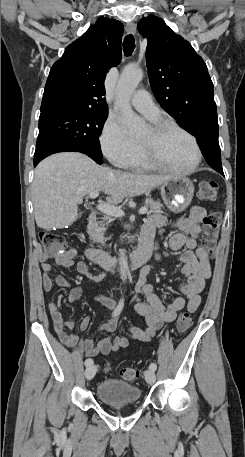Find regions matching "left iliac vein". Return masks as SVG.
Segmentation results:
<instances>
[{"mask_svg": "<svg viewBox=\"0 0 245 457\" xmlns=\"http://www.w3.org/2000/svg\"><path fill=\"white\" fill-rule=\"evenodd\" d=\"M145 379L148 384L152 385L156 381V376L153 370L149 369L145 372Z\"/></svg>", "mask_w": 245, "mask_h": 457, "instance_id": "obj_1", "label": "left iliac vein"}]
</instances>
